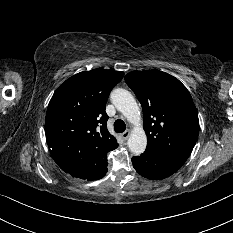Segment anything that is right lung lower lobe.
I'll return each instance as SVG.
<instances>
[{
  "mask_svg": "<svg viewBox=\"0 0 233 233\" xmlns=\"http://www.w3.org/2000/svg\"><path fill=\"white\" fill-rule=\"evenodd\" d=\"M106 172H107V167L102 171V173L96 176H91V175H76V176L71 175V176L75 178H79V179H86L88 181H92V180H98L102 178L103 176H105Z\"/></svg>",
  "mask_w": 233,
  "mask_h": 233,
  "instance_id": "1",
  "label": "right lung lower lobe"
}]
</instances>
